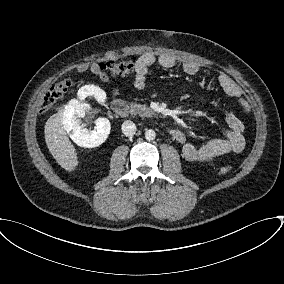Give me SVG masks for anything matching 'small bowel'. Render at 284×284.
Wrapping results in <instances>:
<instances>
[{
	"instance_id": "1",
	"label": "small bowel",
	"mask_w": 284,
	"mask_h": 284,
	"mask_svg": "<svg viewBox=\"0 0 284 284\" xmlns=\"http://www.w3.org/2000/svg\"><path fill=\"white\" fill-rule=\"evenodd\" d=\"M158 63L163 68H172L176 65L177 60L168 53H145L139 56L135 61V76L133 85L136 89H143L146 84V77L149 68ZM185 74L193 76L200 71V66L196 62L186 61L182 64ZM91 71L97 75L104 83H109V76L101 69L99 63L83 64L78 67V72ZM218 85L231 97H240V89L231 77L226 74H220L217 78ZM119 95L115 90L113 96ZM240 106L243 111L248 107L245 102L241 101ZM226 129L222 136H217L201 144L194 145L186 141L185 134L180 130H175L173 138L182 144L183 156L191 162H211L227 154H238L245 147V138L243 135L244 125L241 119L231 110L226 112Z\"/></svg>"
}]
</instances>
